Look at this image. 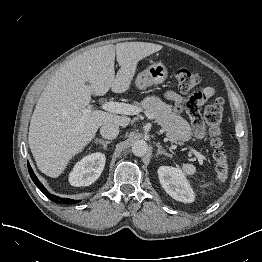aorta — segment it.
<instances>
[{"instance_id": "1", "label": "aorta", "mask_w": 262, "mask_h": 262, "mask_svg": "<svg viewBox=\"0 0 262 262\" xmlns=\"http://www.w3.org/2000/svg\"><path fill=\"white\" fill-rule=\"evenodd\" d=\"M148 151V145L144 140H137L132 144V152L135 156L142 157Z\"/></svg>"}]
</instances>
